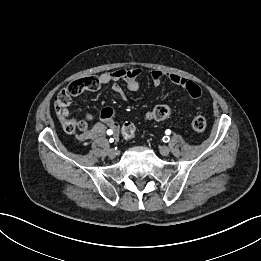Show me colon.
Here are the masks:
<instances>
[{"mask_svg":"<svg viewBox=\"0 0 261 261\" xmlns=\"http://www.w3.org/2000/svg\"><path fill=\"white\" fill-rule=\"evenodd\" d=\"M94 86L92 77L82 78L72 82L68 87L63 89L54 101L55 109L59 115L63 128L67 132H74L77 129L84 130L87 127L85 121H77L69 115L67 107L71 102V98L90 89ZM172 114L171 108L166 105H158L147 113L146 117L149 120L161 121L168 119ZM191 127L196 132H203L206 129L207 122L202 116H194L191 119ZM136 135L135 125L131 122H126L121 127V136L125 140H131Z\"/></svg>","mask_w":261,"mask_h":261,"instance_id":"5ec220e1","label":"colon"}]
</instances>
